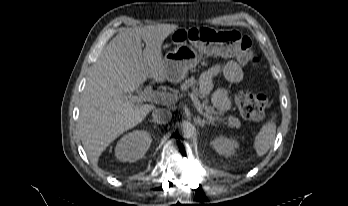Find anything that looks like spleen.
Masks as SVG:
<instances>
[{
  "label": "spleen",
  "instance_id": "3e777b00",
  "mask_svg": "<svg viewBox=\"0 0 348 206\" xmlns=\"http://www.w3.org/2000/svg\"><path fill=\"white\" fill-rule=\"evenodd\" d=\"M275 116L273 115L272 119L261 127L255 137L254 148L257 156L266 154L273 144L276 133Z\"/></svg>",
  "mask_w": 348,
  "mask_h": 206
}]
</instances>
